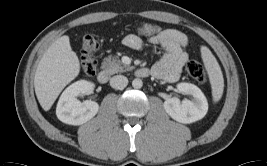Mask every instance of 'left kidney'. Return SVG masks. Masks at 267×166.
<instances>
[{
  "label": "left kidney",
  "instance_id": "1",
  "mask_svg": "<svg viewBox=\"0 0 267 166\" xmlns=\"http://www.w3.org/2000/svg\"><path fill=\"white\" fill-rule=\"evenodd\" d=\"M177 89L183 94L191 95L193 100L185 99L181 102L176 97L168 98L163 104L166 113L184 124L202 119L208 111V102L203 92L191 83H179Z\"/></svg>",
  "mask_w": 267,
  "mask_h": 166
}]
</instances>
